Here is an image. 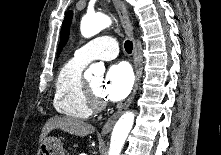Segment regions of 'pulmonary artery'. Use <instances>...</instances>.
<instances>
[{
    "instance_id": "e3ab8cb5",
    "label": "pulmonary artery",
    "mask_w": 221,
    "mask_h": 155,
    "mask_svg": "<svg viewBox=\"0 0 221 155\" xmlns=\"http://www.w3.org/2000/svg\"><path fill=\"white\" fill-rule=\"evenodd\" d=\"M118 55V43L114 37L100 36L76 50L74 57L84 63L94 59L111 60Z\"/></svg>"
}]
</instances>
